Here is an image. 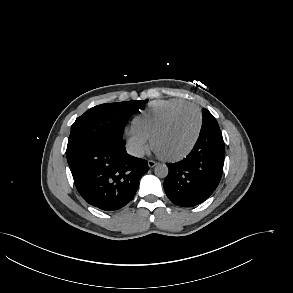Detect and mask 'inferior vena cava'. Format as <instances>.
I'll return each instance as SVG.
<instances>
[{
    "label": "inferior vena cava",
    "mask_w": 293,
    "mask_h": 293,
    "mask_svg": "<svg viewBox=\"0 0 293 293\" xmlns=\"http://www.w3.org/2000/svg\"><path fill=\"white\" fill-rule=\"evenodd\" d=\"M127 152L128 154L139 158L145 155V151L141 146H128Z\"/></svg>",
    "instance_id": "inferior-vena-cava-1"
}]
</instances>
